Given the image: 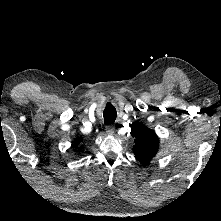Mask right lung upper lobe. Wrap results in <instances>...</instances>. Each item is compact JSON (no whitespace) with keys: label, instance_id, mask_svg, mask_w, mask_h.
Masks as SVG:
<instances>
[{"label":"right lung upper lobe","instance_id":"right-lung-upper-lobe-1","mask_svg":"<svg viewBox=\"0 0 221 221\" xmlns=\"http://www.w3.org/2000/svg\"><path fill=\"white\" fill-rule=\"evenodd\" d=\"M81 142V138L80 137H78V138H76V140H75V144L73 145V147H78L77 145L79 144Z\"/></svg>","mask_w":221,"mask_h":221}]
</instances>
